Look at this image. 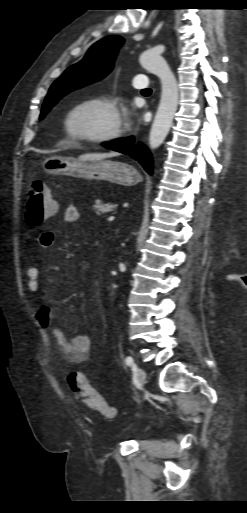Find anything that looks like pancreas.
<instances>
[{"label": "pancreas", "mask_w": 247, "mask_h": 513, "mask_svg": "<svg viewBox=\"0 0 247 513\" xmlns=\"http://www.w3.org/2000/svg\"><path fill=\"white\" fill-rule=\"evenodd\" d=\"M93 208L95 209V213L98 216H101L103 214L114 211L117 208V205L112 203H103L102 201H99L93 206Z\"/></svg>", "instance_id": "1"}]
</instances>
